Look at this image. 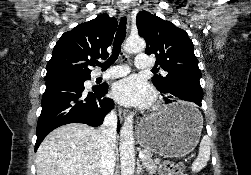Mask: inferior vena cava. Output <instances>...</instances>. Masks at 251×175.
Wrapping results in <instances>:
<instances>
[{
    "mask_svg": "<svg viewBox=\"0 0 251 175\" xmlns=\"http://www.w3.org/2000/svg\"><path fill=\"white\" fill-rule=\"evenodd\" d=\"M117 121L116 111H110L106 115L101 127L97 129L101 145V157L99 159L101 175H113L114 173Z\"/></svg>",
    "mask_w": 251,
    "mask_h": 175,
    "instance_id": "inferior-vena-cava-1",
    "label": "inferior vena cava"
}]
</instances>
